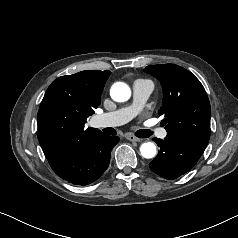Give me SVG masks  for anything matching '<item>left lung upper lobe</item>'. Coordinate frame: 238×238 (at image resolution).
Instances as JSON below:
<instances>
[{
	"mask_svg": "<svg viewBox=\"0 0 238 238\" xmlns=\"http://www.w3.org/2000/svg\"><path fill=\"white\" fill-rule=\"evenodd\" d=\"M163 88L159 115L167 134L188 138L207 145L210 137L211 108L201 82L188 70L175 64L147 66Z\"/></svg>",
	"mask_w": 238,
	"mask_h": 238,
	"instance_id": "obj_1",
	"label": "left lung upper lobe"
}]
</instances>
